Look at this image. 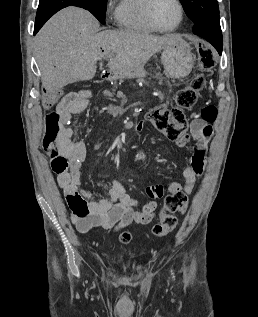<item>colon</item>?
Wrapping results in <instances>:
<instances>
[{
	"mask_svg": "<svg viewBox=\"0 0 258 317\" xmlns=\"http://www.w3.org/2000/svg\"><path fill=\"white\" fill-rule=\"evenodd\" d=\"M216 56L209 48H200L198 52V64L202 71H208L215 66ZM205 84L202 75H197L192 83L180 90L176 96L175 106L169 108L164 105L153 107L146 115L153 127L160 133L172 140L181 138L187 129V119L184 114L185 109L192 108L198 98L199 92ZM54 102L51 97L46 101L50 105ZM217 109L213 105L204 106L201 109V118L212 123L216 119ZM68 125L66 118L58 109L51 111L45 120V132L43 137L44 149L51 153H58L62 147ZM188 206V199L185 193H170L164 199V205L160 212L159 222L153 227V233L158 237H163L174 230L177 219L174 214H183ZM131 235L127 232L120 237L122 243L127 244Z\"/></svg>",
	"mask_w": 258,
	"mask_h": 317,
	"instance_id": "colon-1",
	"label": "colon"
}]
</instances>
